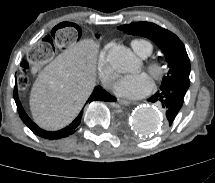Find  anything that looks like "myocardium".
I'll use <instances>...</instances> for the list:
<instances>
[{
  "label": "myocardium",
  "instance_id": "f54148a6",
  "mask_svg": "<svg viewBox=\"0 0 215 183\" xmlns=\"http://www.w3.org/2000/svg\"><path fill=\"white\" fill-rule=\"evenodd\" d=\"M145 69L156 82H161L168 73V66L158 59H151L146 62Z\"/></svg>",
  "mask_w": 215,
  "mask_h": 183
}]
</instances>
